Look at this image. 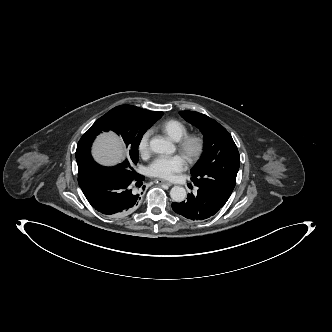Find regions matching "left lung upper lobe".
<instances>
[{"instance_id":"5c2ea615","label":"left lung upper lobe","mask_w":332,"mask_h":332,"mask_svg":"<svg viewBox=\"0 0 332 332\" xmlns=\"http://www.w3.org/2000/svg\"><path fill=\"white\" fill-rule=\"evenodd\" d=\"M179 114L204 135V153L191 171L194 185L227 201L235 187L240 165L238 149L227 130L210 117L194 112Z\"/></svg>"}]
</instances>
